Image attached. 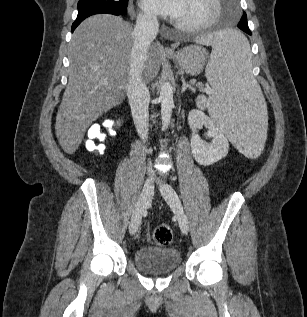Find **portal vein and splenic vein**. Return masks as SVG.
<instances>
[{
	"label": "portal vein and splenic vein",
	"instance_id": "portal-vein-and-splenic-vein-1",
	"mask_svg": "<svg viewBox=\"0 0 307 317\" xmlns=\"http://www.w3.org/2000/svg\"><path fill=\"white\" fill-rule=\"evenodd\" d=\"M204 91L207 93V94H211V88L209 87V86H206L205 88H204Z\"/></svg>",
	"mask_w": 307,
	"mask_h": 317
}]
</instances>
